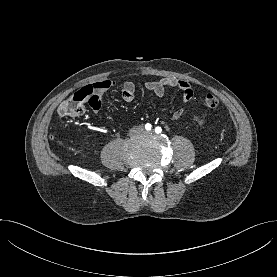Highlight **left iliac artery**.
<instances>
[{"label": "left iliac artery", "mask_w": 277, "mask_h": 277, "mask_svg": "<svg viewBox=\"0 0 277 277\" xmlns=\"http://www.w3.org/2000/svg\"><path fill=\"white\" fill-rule=\"evenodd\" d=\"M155 132L157 133V134H159V133H161L162 132V128L161 127H156L155 128Z\"/></svg>", "instance_id": "left-iliac-artery-1"}]
</instances>
